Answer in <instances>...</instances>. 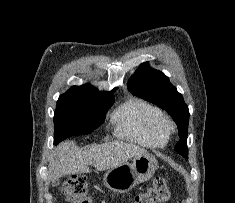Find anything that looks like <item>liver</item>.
Returning <instances> with one entry per match:
<instances>
[{"label": "liver", "mask_w": 235, "mask_h": 203, "mask_svg": "<svg viewBox=\"0 0 235 203\" xmlns=\"http://www.w3.org/2000/svg\"><path fill=\"white\" fill-rule=\"evenodd\" d=\"M147 153L135 144L122 141L79 148L73 141L58 145L50 161L52 179L58 180L70 174L88 173L89 165L97 170H108L126 163L131 158Z\"/></svg>", "instance_id": "6515ba94"}]
</instances>
